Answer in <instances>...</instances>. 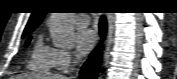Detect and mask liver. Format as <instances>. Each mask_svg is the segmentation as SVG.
Instances as JSON below:
<instances>
[{"label": "liver", "mask_w": 177, "mask_h": 79, "mask_svg": "<svg viewBox=\"0 0 177 79\" xmlns=\"http://www.w3.org/2000/svg\"><path fill=\"white\" fill-rule=\"evenodd\" d=\"M15 79H67V78L64 76H60V75H44V76L20 75V76H16Z\"/></svg>", "instance_id": "6515ba94"}]
</instances>
